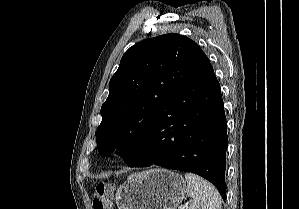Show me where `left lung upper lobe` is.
I'll list each match as a JSON object with an SVG mask.
<instances>
[{
    "instance_id": "obj_1",
    "label": "left lung upper lobe",
    "mask_w": 299,
    "mask_h": 209,
    "mask_svg": "<svg viewBox=\"0 0 299 209\" xmlns=\"http://www.w3.org/2000/svg\"><path fill=\"white\" fill-rule=\"evenodd\" d=\"M209 63L194 41L179 34L161 35L130 47L110 80L109 96L101 107L100 155L119 149L129 163L163 105Z\"/></svg>"
}]
</instances>
